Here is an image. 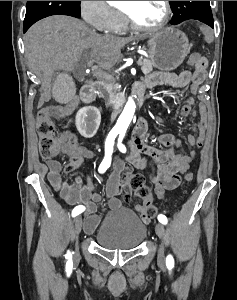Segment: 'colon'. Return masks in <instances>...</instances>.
I'll return each instance as SVG.
<instances>
[{
  "label": "colon",
  "mask_w": 237,
  "mask_h": 300,
  "mask_svg": "<svg viewBox=\"0 0 237 300\" xmlns=\"http://www.w3.org/2000/svg\"><path fill=\"white\" fill-rule=\"evenodd\" d=\"M208 42L213 41V35L210 29L205 25H200ZM206 58L200 54H193L189 58L190 65L205 64ZM37 132L39 135V151L40 155L45 160H53L61 154L65 146L72 148L77 147V142L73 134L69 132L58 133L53 123L50 120V109L43 108L37 115ZM82 162L81 157L72 158L66 166V171L72 172L76 170ZM184 179L191 181L193 179L192 173H186ZM127 187L136 196L143 200V210L147 218L152 219L157 214V209L152 202V192L147 186L145 178L141 174L131 173L127 171L126 174Z\"/></svg>",
  "instance_id": "obj_1"
}]
</instances>
